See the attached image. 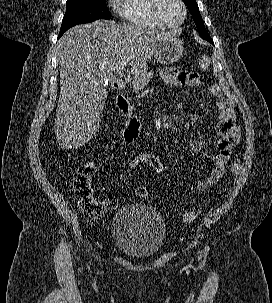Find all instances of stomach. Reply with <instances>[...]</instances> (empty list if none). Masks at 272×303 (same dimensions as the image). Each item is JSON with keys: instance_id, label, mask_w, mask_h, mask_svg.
Instances as JSON below:
<instances>
[{"instance_id": "obj_1", "label": "stomach", "mask_w": 272, "mask_h": 303, "mask_svg": "<svg viewBox=\"0 0 272 303\" xmlns=\"http://www.w3.org/2000/svg\"><path fill=\"white\" fill-rule=\"evenodd\" d=\"M183 42L173 36L163 40L155 51V60L161 64L176 62L183 54Z\"/></svg>"}]
</instances>
